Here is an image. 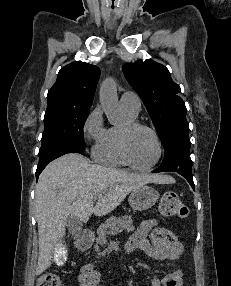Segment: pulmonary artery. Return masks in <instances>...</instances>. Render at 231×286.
<instances>
[{
	"label": "pulmonary artery",
	"instance_id": "e3ab8cb5",
	"mask_svg": "<svg viewBox=\"0 0 231 286\" xmlns=\"http://www.w3.org/2000/svg\"><path fill=\"white\" fill-rule=\"evenodd\" d=\"M120 105L123 110L132 114H138L141 110V100L137 94L133 92H124L120 98Z\"/></svg>",
	"mask_w": 231,
	"mask_h": 286
}]
</instances>
